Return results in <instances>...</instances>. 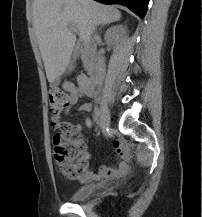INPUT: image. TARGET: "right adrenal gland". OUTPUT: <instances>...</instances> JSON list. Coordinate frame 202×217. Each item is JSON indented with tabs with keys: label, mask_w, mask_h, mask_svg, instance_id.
<instances>
[{
	"label": "right adrenal gland",
	"mask_w": 202,
	"mask_h": 217,
	"mask_svg": "<svg viewBox=\"0 0 202 217\" xmlns=\"http://www.w3.org/2000/svg\"><path fill=\"white\" fill-rule=\"evenodd\" d=\"M107 25H108V24H104V25H102L100 29H102L104 26H107Z\"/></svg>",
	"instance_id": "1"
}]
</instances>
